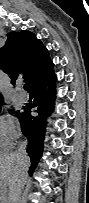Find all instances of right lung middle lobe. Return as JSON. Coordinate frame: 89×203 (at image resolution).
I'll return each instance as SVG.
<instances>
[{
	"label": "right lung middle lobe",
	"instance_id": "dd1d6c3e",
	"mask_svg": "<svg viewBox=\"0 0 89 203\" xmlns=\"http://www.w3.org/2000/svg\"><path fill=\"white\" fill-rule=\"evenodd\" d=\"M10 113L12 114V113H14V112H13V111H11ZM21 116H22V113L20 114L19 119H20V117H21Z\"/></svg>",
	"mask_w": 89,
	"mask_h": 203
}]
</instances>
